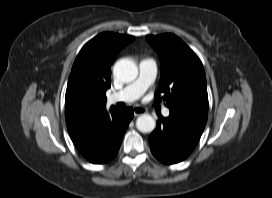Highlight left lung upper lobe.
I'll list each match as a JSON object with an SVG mask.
<instances>
[{"label": "left lung upper lobe", "instance_id": "1", "mask_svg": "<svg viewBox=\"0 0 272 198\" xmlns=\"http://www.w3.org/2000/svg\"><path fill=\"white\" fill-rule=\"evenodd\" d=\"M160 58L161 77L155 100L169 109L208 115V94L203 65L197 55L173 34L148 35Z\"/></svg>", "mask_w": 272, "mask_h": 198}]
</instances>
